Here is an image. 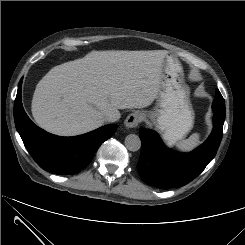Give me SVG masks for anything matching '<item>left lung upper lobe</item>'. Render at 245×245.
Masks as SVG:
<instances>
[{"mask_svg":"<svg viewBox=\"0 0 245 245\" xmlns=\"http://www.w3.org/2000/svg\"><path fill=\"white\" fill-rule=\"evenodd\" d=\"M216 95H218L216 98L219 102V110L225 113V102L219 90L216 91Z\"/></svg>","mask_w":245,"mask_h":245,"instance_id":"left-lung-upper-lobe-1","label":"left lung upper lobe"}]
</instances>
